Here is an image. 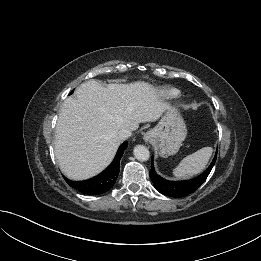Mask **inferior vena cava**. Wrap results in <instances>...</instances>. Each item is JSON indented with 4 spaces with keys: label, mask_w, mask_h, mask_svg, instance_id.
Listing matches in <instances>:
<instances>
[{
    "label": "inferior vena cava",
    "mask_w": 261,
    "mask_h": 261,
    "mask_svg": "<svg viewBox=\"0 0 261 261\" xmlns=\"http://www.w3.org/2000/svg\"><path fill=\"white\" fill-rule=\"evenodd\" d=\"M132 134L131 130L128 128H123L118 132V136L121 140L130 137Z\"/></svg>",
    "instance_id": "602c4592"
}]
</instances>
